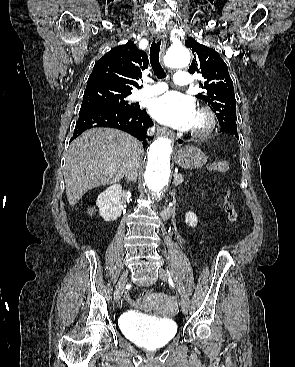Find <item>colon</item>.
Masks as SVG:
<instances>
[{"label": "colon", "instance_id": "obj_1", "mask_svg": "<svg viewBox=\"0 0 295 367\" xmlns=\"http://www.w3.org/2000/svg\"><path fill=\"white\" fill-rule=\"evenodd\" d=\"M209 171L216 174H224L228 170V162L226 160H218L209 165ZM223 209L231 222L237 221V212L234 203L231 201L230 194L227 192L223 198ZM142 297L146 298L151 295L150 291H144Z\"/></svg>", "mask_w": 295, "mask_h": 367}]
</instances>
